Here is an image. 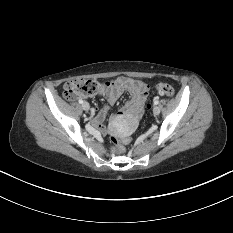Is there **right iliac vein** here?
<instances>
[{
    "mask_svg": "<svg viewBox=\"0 0 233 233\" xmlns=\"http://www.w3.org/2000/svg\"><path fill=\"white\" fill-rule=\"evenodd\" d=\"M82 108H83V110L88 111V110L90 109L89 103L83 102V103H82Z\"/></svg>",
    "mask_w": 233,
    "mask_h": 233,
    "instance_id": "right-iliac-vein-1",
    "label": "right iliac vein"
}]
</instances>
